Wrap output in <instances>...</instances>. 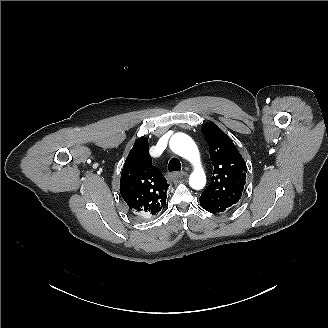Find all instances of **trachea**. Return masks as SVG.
<instances>
[{
	"mask_svg": "<svg viewBox=\"0 0 328 328\" xmlns=\"http://www.w3.org/2000/svg\"><path fill=\"white\" fill-rule=\"evenodd\" d=\"M168 170L170 172L181 170V163H180L179 159H177L175 157L171 158L168 163Z\"/></svg>",
	"mask_w": 328,
	"mask_h": 328,
	"instance_id": "trachea-1",
	"label": "trachea"
}]
</instances>
